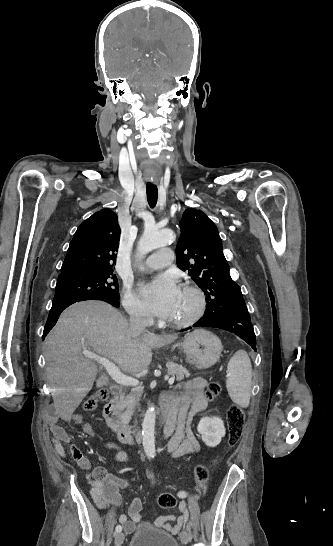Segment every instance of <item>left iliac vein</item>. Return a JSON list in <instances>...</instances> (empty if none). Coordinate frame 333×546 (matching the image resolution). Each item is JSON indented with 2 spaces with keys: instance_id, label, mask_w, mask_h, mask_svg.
Listing matches in <instances>:
<instances>
[{
  "instance_id": "obj_1",
  "label": "left iliac vein",
  "mask_w": 333,
  "mask_h": 546,
  "mask_svg": "<svg viewBox=\"0 0 333 546\" xmlns=\"http://www.w3.org/2000/svg\"><path fill=\"white\" fill-rule=\"evenodd\" d=\"M181 541L183 544H187L191 540V534L188 529H185L181 532L180 535Z\"/></svg>"
}]
</instances>
